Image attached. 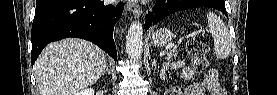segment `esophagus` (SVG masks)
Wrapping results in <instances>:
<instances>
[{
  "label": "esophagus",
  "mask_w": 277,
  "mask_h": 95,
  "mask_svg": "<svg viewBox=\"0 0 277 95\" xmlns=\"http://www.w3.org/2000/svg\"><path fill=\"white\" fill-rule=\"evenodd\" d=\"M126 9L129 11H132V13L136 16L139 17L141 15V8L139 7V5H137L136 3H132V2H128L126 4Z\"/></svg>",
  "instance_id": "34e87169"
}]
</instances>
